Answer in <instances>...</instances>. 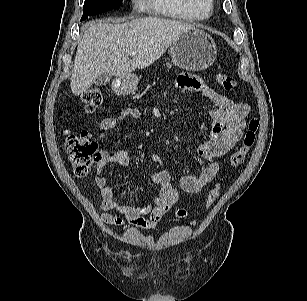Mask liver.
<instances>
[{"instance_id": "obj_1", "label": "liver", "mask_w": 307, "mask_h": 301, "mask_svg": "<svg viewBox=\"0 0 307 301\" xmlns=\"http://www.w3.org/2000/svg\"><path fill=\"white\" fill-rule=\"evenodd\" d=\"M192 28L188 23L159 17L90 26L78 44L70 79L72 93L85 92L101 73L123 77L150 66L182 32ZM132 51L136 55L129 59Z\"/></svg>"}]
</instances>
